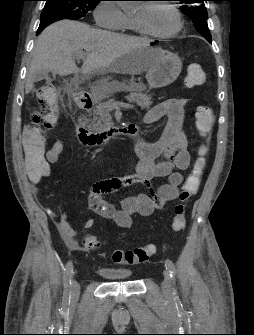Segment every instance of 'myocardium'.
Returning a JSON list of instances; mask_svg holds the SVG:
<instances>
[{
    "instance_id": "f54148a6",
    "label": "myocardium",
    "mask_w": 254,
    "mask_h": 335,
    "mask_svg": "<svg viewBox=\"0 0 254 335\" xmlns=\"http://www.w3.org/2000/svg\"><path fill=\"white\" fill-rule=\"evenodd\" d=\"M147 6H153V5H165L167 7H169L172 12L175 15L176 18V26L174 27V29H172L171 31L167 32V33H158V32H154L149 30L140 20H138L137 18H134V21L136 23V25L138 26L139 30L150 37L153 38H157V39H169L172 38L174 36H176L183 28V19H182V15L178 9V7L171 3V2H166V1H156L153 3H148L145 4Z\"/></svg>"
}]
</instances>
